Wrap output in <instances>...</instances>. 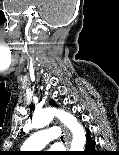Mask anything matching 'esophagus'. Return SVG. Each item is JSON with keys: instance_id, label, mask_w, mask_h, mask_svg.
Returning a JSON list of instances; mask_svg holds the SVG:
<instances>
[{"instance_id": "34e87169", "label": "esophagus", "mask_w": 119, "mask_h": 155, "mask_svg": "<svg viewBox=\"0 0 119 155\" xmlns=\"http://www.w3.org/2000/svg\"><path fill=\"white\" fill-rule=\"evenodd\" d=\"M63 129H64V134H65L66 149L68 150L69 146H70V133L67 129H65V128H63Z\"/></svg>"}]
</instances>
